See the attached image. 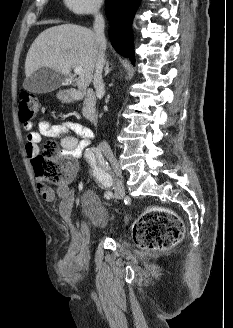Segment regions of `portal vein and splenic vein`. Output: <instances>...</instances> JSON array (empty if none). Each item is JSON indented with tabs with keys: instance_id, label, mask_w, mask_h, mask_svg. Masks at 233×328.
<instances>
[{
	"instance_id": "1",
	"label": "portal vein and splenic vein",
	"mask_w": 233,
	"mask_h": 328,
	"mask_svg": "<svg viewBox=\"0 0 233 328\" xmlns=\"http://www.w3.org/2000/svg\"><path fill=\"white\" fill-rule=\"evenodd\" d=\"M74 72H75V74L79 75V74H81L83 72V69H82L81 66H76L74 68Z\"/></svg>"
}]
</instances>
